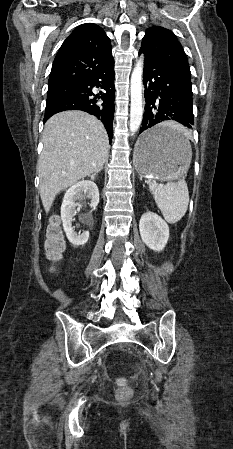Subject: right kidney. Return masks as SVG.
I'll list each match as a JSON object with an SVG mask.
<instances>
[{
    "label": "right kidney",
    "mask_w": 233,
    "mask_h": 449,
    "mask_svg": "<svg viewBox=\"0 0 233 449\" xmlns=\"http://www.w3.org/2000/svg\"><path fill=\"white\" fill-rule=\"evenodd\" d=\"M90 199V206L95 209L99 203V190L97 185L89 180H82L67 190L64 195L61 206V219L63 222V229L71 244L81 246L87 243L89 239V232L77 233L72 226L73 217L76 214L75 201L82 198Z\"/></svg>",
    "instance_id": "1"
}]
</instances>
